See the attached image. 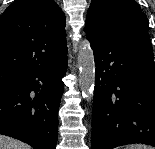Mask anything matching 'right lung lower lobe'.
I'll list each match as a JSON object with an SVG mask.
<instances>
[{"mask_svg": "<svg viewBox=\"0 0 155 149\" xmlns=\"http://www.w3.org/2000/svg\"><path fill=\"white\" fill-rule=\"evenodd\" d=\"M66 67L67 53L51 64L23 74L17 86L0 89V134L34 149H55ZM32 91L35 96L30 94Z\"/></svg>", "mask_w": 155, "mask_h": 149, "instance_id": "obj_1", "label": "right lung lower lobe"}]
</instances>
